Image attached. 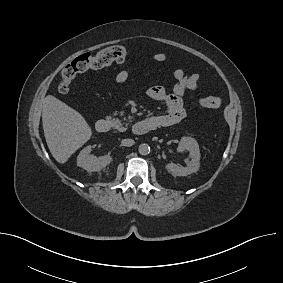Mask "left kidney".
Here are the masks:
<instances>
[{"instance_id":"obj_1","label":"left kidney","mask_w":283,"mask_h":283,"mask_svg":"<svg viewBox=\"0 0 283 283\" xmlns=\"http://www.w3.org/2000/svg\"><path fill=\"white\" fill-rule=\"evenodd\" d=\"M178 152L188 151L191 157V161L188 162L186 167H180L174 163L166 164V169L174 177L187 176L195 173L200 167V150L197 141L191 137H183L177 148Z\"/></svg>"}]
</instances>
